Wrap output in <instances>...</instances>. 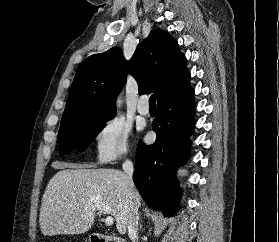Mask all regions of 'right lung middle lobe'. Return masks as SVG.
Here are the masks:
<instances>
[{"instance_id": "dd1d6c3e", "label": "right lung middle lobe", "mask_w": 279, "mask_h": 242, "mask_svg": "<svg viewBox=\"0 0 279 242\" xmlns=\"http://www.w3.org/2000/svg\"><path fill=\"white\" fill-rule=\"evenodd\" d=\"M113 117L91 118L76 124L60 126L58 133L59 155L62 156L72 150H85L104 128L105 123Z\"/></svg>"}]
</instances>
